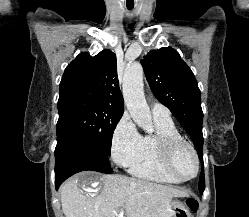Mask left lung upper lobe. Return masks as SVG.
Wrapping results in <instances>:
<instances>
[{
	"mask_svg": "<svg viewBox=\"0 0 249 217\" xmlns=\"http://www.w3.org/2000/svg\"><path fill=\"white\" fill-rule=\"evenodd\" d=\"M141 63L153 94L189 134L202 161L203 112L201 93L193 72L171 47L151 50ZM204 184L199 181L200 192L205 189Z\"/></svg>",
	"mask_w": 249,
	"mask_h": 217,
	"instance_id": "1",
	"label": "left lung upper lobe"
}]
</instances>
